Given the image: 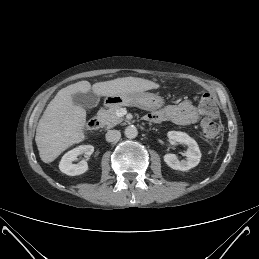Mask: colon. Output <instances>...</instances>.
Wrapping results in <instances>:
<instances>
[{"mask_svg":"<svg viewBox=\"0 0 259 259\" xmlns=\"http://www.w3.org/2000/svg\"><path fill=\"white\" fill-rule=\"evenodd\" d=\"M200 103L206 113L201 122L202 134L206 139H213L220 131V124L216 119L218 113L216 104L209 94H204Z\"/></svg>","mask_w":259,"mask_h":259,"instance_id":"obj_1","label":"colon"}]
</instances>
